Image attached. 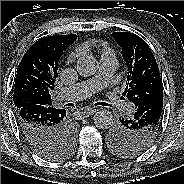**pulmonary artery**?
Masks as SVG:
<instances>
[{
	"instance_id": "1",
	"label": "pulmonary artery",
	"mask_w": 184,
	"mask_h": 184,
	"mask_svg": "<svg viewBox=\"0 0 184 184\" xmlns=\"http://www.w3.org/2000/svg\"><path fill=\"white\" fill-rule=\"evenodd\" d=\"M117 66L118 62L115 56L101 58L100 70L94 77L70 87L60 89L57 93V98L59 100L73 102L96 93L111 80ZM104 97L116 110H124L128 113L134 109L130 102L120 99L113 91L106 92Z\"/></svg>"
}]
</instances>
